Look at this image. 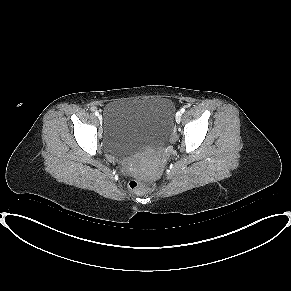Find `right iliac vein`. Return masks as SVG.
Returning a JSON list of instances; mask_svg holds the SVG:
<instances>
[{
  "mask_svg": "<svg viewBox=\"0 0 291 291\" xmlns=\"http://www.w3.org/2000/svg\"><path fill=\"white\" fill-rule=\"evenodd\" d=\"M98 119L101 120L102 119V115H98Z\"/></svg>",
  "mask_w": 291,
  "mask_h": 291,
  "instance_id": "1",
  "label": "right iliac vein"
}]
</instances>
